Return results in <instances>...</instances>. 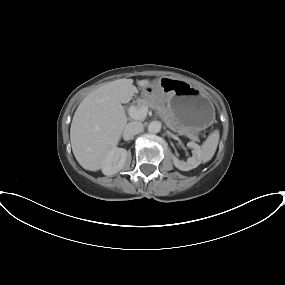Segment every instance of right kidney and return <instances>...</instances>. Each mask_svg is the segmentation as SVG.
Here are the masks:
<instances>
[{
    "label": "right kidney",
    "mask_w": 285,
    "mask_h": 285,
    "mask_svg": "<svg viewBox=\"0 0 285 285\" xmlns=\"http://www.w3.org/2000/svg\"><path fill=\"white\" fill-rule=\"evenodd\" d=\"M127 155V150L124 148H112L101 166L103 174L111 176L122 170L127 160Z\"/></svg>",
    "instance_id": "obj_1"
}]
</instances>
